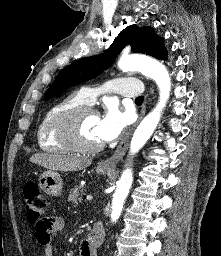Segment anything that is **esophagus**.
Returning a JSON list of instances; mask_svg holds the SVG:
<instances>
[{
  "mask_svg": "<svg viewBox=\"0 0 221 256\" xmlns=\"http://www.w3.org/2000/svg\"><path fill=\"white\" fill-rule=\"evenodd\" d=\"M145 113H146V103L142 106L138 121L132 127H130L129 130L125 133L124 137L122 138V140L119 143L115 152L109 158H107L99 163V165L101 167H104V168H115L116 167L117 163L122 159V157L124 156V154L127 150L128 143H129L130 137L132 135V132L134 131L138 122L145 115Z\"/></svg>",
  "mask_w": 221,
  "mask_h": 256,
  "instance_id": "1",
  "label": "esophagus"
}]
</instances>
